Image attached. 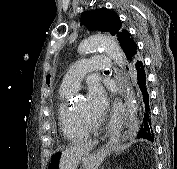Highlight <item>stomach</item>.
Instances as JSON below:
<instances>
[{
  "mask_svg": "<svg viewBox=\"0 0 177 169\" xmlns=\"http://www.w3.org/2000/svg\"><path fill=\"white\" fill-rule=\"evenodd\" d=\"M110 148L100 147L98 150H95L91 153H88L82 159V167L80 169H99L107 155L109 154ZM60 154H54L49 162L48 169H58Z\"/></svg>",
  "mask_w": 177,
  "mask_h": 169,
  "instance_id": "1",
  "label": "stomach"
}]
</instances>
